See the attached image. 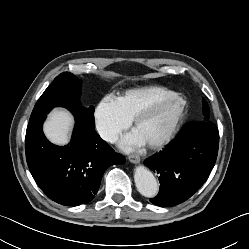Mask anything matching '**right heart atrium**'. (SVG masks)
Here are the masks:
<instances>
[{"label":"right heart atrium","mask_w":249,"mask_h":249,"mask_svg":"<svg viewBox=\"0 0 249 249\" xmlns=\"http://www.w3.org/2000/svg\"><path fill=\"white\" fill-rule=\"evenodd\" d=\"M94 122L100 137L109 143H113L130 125V121L112 96H106L97 105L94 111Z\"/></svg>","instance_id":"right-heart-atrium-1"}]
</instances>
